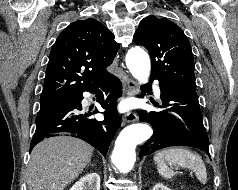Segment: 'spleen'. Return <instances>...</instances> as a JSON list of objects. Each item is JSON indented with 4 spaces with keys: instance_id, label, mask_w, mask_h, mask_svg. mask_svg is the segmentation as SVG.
Wrapping results in <instances>:
<instances>
[{
    "instance_id": "obj_1",
    "label": "spleen",
    "mask_w": 238,
    "mask_h": 190,
    "mask_svg": "<svg viewBox=\"0 0 238 190\" xmlns=\"http://www.w3.org/2000/svg\"><path fill=\"white\" fill-rule=\"evenodd\" d=\"M154 161L159 174L165 179H172L174 176V172L167 165L168 163L189 168L194 171L200 183L206 184L207 182L206 167L201 156L186 148L173 147L161 150L155 154Z\"/></svg>"
}]
</instances>
